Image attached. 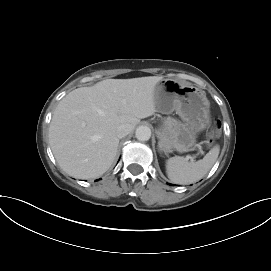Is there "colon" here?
<instances>
[{
  "mask_svg": "<svg viewBox=\"0 0 271 271\" xmlns=\"http://www.w3.org/2000/svg\"><path fill=\"white\" fill-rule=\"evenodd\" d=\"M216 136V129L212 132H210L207 136V143L211 145L214 142V138Z\"/></svg>",
  "mask_w": 271,
  "mask_h": 271,
  "instance_id": "obj_1",
  "label": "colon"
}]
</instances>
